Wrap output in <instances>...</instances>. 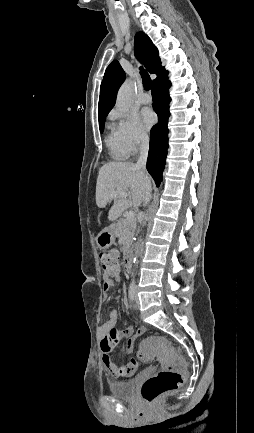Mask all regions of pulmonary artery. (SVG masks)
<instances>
[{
    "label": "pulmonary artery",
    "mask_w": 254,
    "mask_h": 433,
    "mask_svg": "<svg viewBox=\"0 0 254 433\" xmlns=\"http://www.w3.org/2000/svg\"><path fill=\"white\" fill-rule=\"evenodd\" d=\"M140 102L142 104H149L151 102V97L147 93H143L140 96Z\"/></svg>",
    "instance_id": "e3ab8cb5"
}]
</instances>
